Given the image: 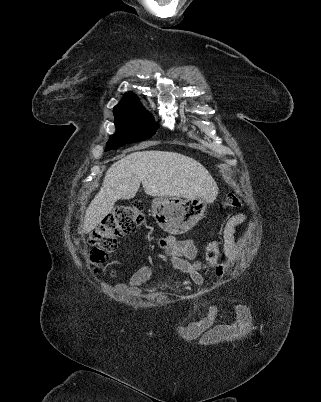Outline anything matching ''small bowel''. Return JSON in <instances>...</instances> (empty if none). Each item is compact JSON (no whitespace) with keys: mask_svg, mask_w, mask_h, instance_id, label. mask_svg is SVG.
I'll list each match as a JSON object with an SVG mask.
<instances>
[{"mask_svg":"<svg viewBox=\"0 0 321 402\" xmlns=\"http://www.w3.org/2000/svg\"><path fill=\"white\" fill-rule=\"evenodd\" d=\"M247 220L245 213H236L228 218L224 225L223 233L225 240L226 259L234 260L239 253V249L244 240L236 237V229ZM159 246L163 249L168 261L174 269L188 275L196 284L203 281L201 271L204 269V263L198 258L199 251L197 245L192 239H176L173 236H165L159 239ZM227 263L223 262L213 269V275L220 277L226 269ZM153 272V268L148 266L136 272L129 284H118L116 290L131 291L143 283ZM115 274L114 270L110 271ZM208 310L213 311L216 308L215 303L210 302L207 305ZM235 310V319L228 320L226 324H216L214 321H189L186 327L187 335H197L196 341L201 343L202 347H219L220 339H226L228 335H241L243 329L252 327L249 322L248 308L246 302H235L232 305ZM212 328V330H207ZM227 345H233V340H227Z\"/></svg>","mask_w":321,"mask_h":402,"instance_id":"c3829d8e","label":"small bowel"}]
</instances>
